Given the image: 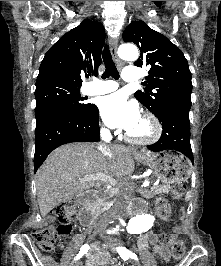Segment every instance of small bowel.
I'll return each instance as SVG.
<instances>
[{"mask_svg": "<svg viewBox=\"0 0 221 266\" xmlns=\"http://www.w3.org/2000/svg\"><path fill=\"white\" fill-rule=\"evenodd\" d=\"M180 228H176L179 231ZM173 238L175 235L172 234ZM149 243L154 244V251L156 255L163 261L169 260V251L166 245H161L157 242L156 236L152 232H147L139 238V250L144 252ZM112 260L107 253H90L86 259L87 266H110Z\"/></svg>", "mask_w": 221, "mask_h": 266, "instance_id": "1", "label": "small bowel"}]
</instances>
